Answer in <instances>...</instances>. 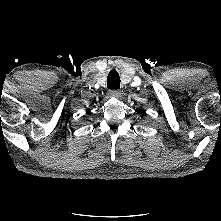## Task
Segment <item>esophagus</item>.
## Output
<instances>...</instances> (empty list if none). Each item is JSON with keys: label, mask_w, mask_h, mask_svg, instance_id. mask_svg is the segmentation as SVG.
Returning <instances> with one entry per match:
<instances>
[{"label": "esophagus", "mask_w": 221, "mask_h": 221, "mask_svg": "<svg viewBox=\"0 0 221 221\" xmlns=\"http://www.w3.org/2000/svg\"><path fill=\"white\" fill-rule=\"evenodd\" d=\"M110 94H112V95H118V94H119V91H118V90H111V91H110Z\"/></svg>", "instance_id": "esophagus-1"}]
</instances>
